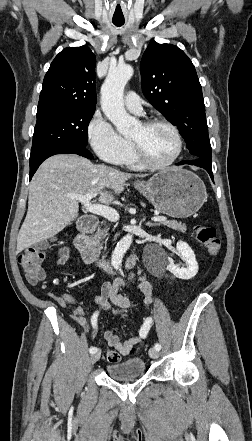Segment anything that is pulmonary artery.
Wrapping results in <instances>:
<instances>
[{
	"mask_svg": "<svg viewBox=\"0 0 252 441\" xmlns=\"http://www.w3.org/2000/svg\"><path fill=\"white\" fill-rule=\"evenodd\" d=\"M125 107L136 114H141L143 111L140 97L133 91L128 92L124 100Z\"/></svg>",
	"mask_w": 252,
	"mask_h": 441,
	"instance_id": "pulmonary-artery-1",
	"label": "pulmonary artery"
}]
</instances>
